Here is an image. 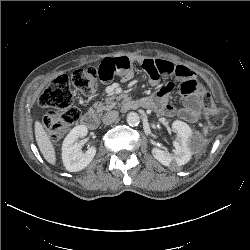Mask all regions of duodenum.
<instances>
[{"label":"duodenum","instance_id":"duodenum-1","mask_svg":"<svg viewBox=\"0 0 250 250\" xmlns=\"http://www.w3.org/2000/svg\"><path fill=\"white\" fill-rule=\"evenodd\" d=\"M140 106L141 105H140V103L138 101L126 100V101L122 102L121 110L126 111V110H130V109H136V108H138ZM82 123L91 130L96 129L98 127V124H99L95 113L91 112V111L86 112L83 115Z\"/></svg>","mask_w":250,"mask_h":250}]
</instances>
